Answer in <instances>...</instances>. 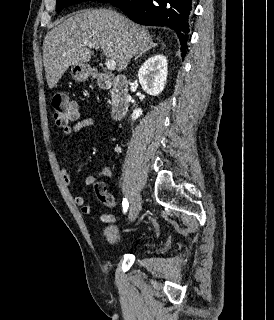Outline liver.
Wrapping results in <instances>:
<instances>
[{
    "label": "liver",
    "mask_w": 274,
    "mask_h": 320,
    "mask_svg": "<svg viewBox=\"0 0 274 320\" xmlns=\"http://www.w3.org/2000/svg\"><path fill=\"white\" fill-rule=\"evenodd\" d=\"M152 38L148 30L112 8L73 12L44 38L43 64L48 88H55L69 66L90 62L93 52L83 42L100 46L103 56L115 60L122 72L133 56L150 50Z\"/></svg>",
    "instance_id": "6515ba94"
}]
</instances>
